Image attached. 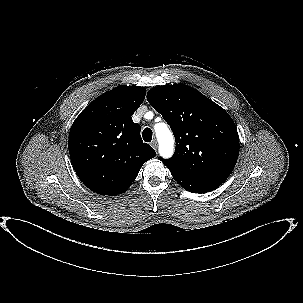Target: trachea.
<instances>
[{
  "mask_svg": "<svg viewBox=\"0 0 303 303\" xmlns=\"http://www.w3.org/2000/svg\"><path fill=\"white\" fill-rule=\"evenodd\" d=\"M152 136H153V133L150 128H145L143 130L142 137L145 142H151Z\"/></svg>",
  "mask_w": 303,
  "mask_h": 303,
  "instance_id": "obj_1",
  "label": "trachea"
}]
</instances>
